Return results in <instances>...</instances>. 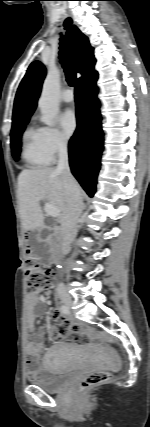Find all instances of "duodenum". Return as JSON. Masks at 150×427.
I'll return each instance as SVG.
<instances>
[{
  "label": "duodenum",
  "instance_id": "obj_1",
  "mask_svg": "<svg viewBox=\"0 0 150 427\" xmlns=\"http://www.w3.org/2000/svg\"><path fill=\"white\" fill-rule=\"evenodd\" d=\"M30 240V238L29 237H27V241H29Z\"/></svg>",
  "mask_w": 150,
  "mask_h": 427
}]
</instances>
